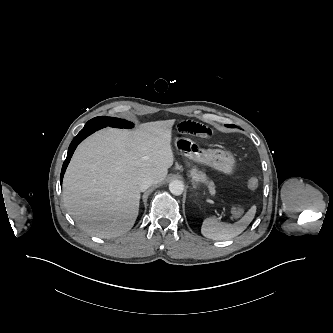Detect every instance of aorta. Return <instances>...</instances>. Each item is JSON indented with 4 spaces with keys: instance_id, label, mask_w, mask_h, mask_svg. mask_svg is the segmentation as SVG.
Segmentation results:
<instances>
[{
    "instance_id": "762f6f07",
    "label": "aorta",
    "mask_w": 333,
    "mask_h": 333,
    "mask_svg": "<svg viewBox=\"0 0 333 333\" xmlns=\"http://www.w3.org/2000/svg\"><path fill=\"white\" fill-rule=\"evenodd\" d=\"M169 190L174 195H181L184 190V185L180 180H174L169 184Z\"/></svg>"
}]
</instances>
